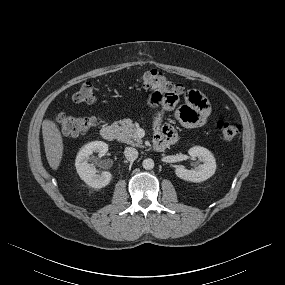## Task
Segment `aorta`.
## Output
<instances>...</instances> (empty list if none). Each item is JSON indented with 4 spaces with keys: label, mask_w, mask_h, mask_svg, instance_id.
I'll return each mask as SVG.
<instances>
[{
    "label": "aorta",
    "mask_w": 285,
    "mask_h": 285,
    "mask_svg": "<svg viewBox=\"0 0 285 285\" xmlns=\"http://www.w3.org/2000/svg\"><path fill=\"white\" fill-rule=\"evenodd\" d=\"M142 166L146 170H151L154 168V161L151 158H146L143 160Z\"/></svg>",
    "instance_id": "762f6f07"
}]
</instances>
